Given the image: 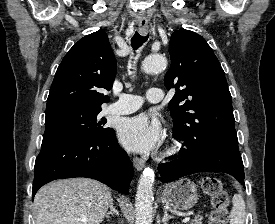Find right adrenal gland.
Returning <instances> with one entry per match:
<instances>
[{"instance_id": "obj_1", "label": "right adrenal gland", "mask_w": 275, "mask_h": 224, "mask_svg": "<svg viewBox=\"0 0 275 224\" xmlns=\"http://www.w3.org/2000/svg\"><path fill=\"white\" fill-rule=\"evenodd\" d=\"M113 214L119 216L118 210L114 207V204L111 203V205H110V210L105 214V216H106V218L109 219L110 216L113 215Z\"/></svg>"}]
</instances>
